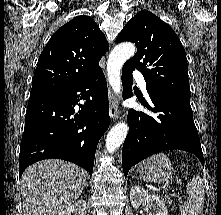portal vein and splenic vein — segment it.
<instances>
[{"label":"portal vein and splenic vein","instance_id":"18ae733b","mask_svg":"<svg viewBox=\"0 0 221 215\" xmlns=\"http://www.w3.org/2000/svg\"><path fill=\"white\" fill-rule=\"evenodd\" d=\"M172 194L177 195L173 190L171 191Z\"/></svg>","mask_w":221,"mask_h":215}]
</instances>
